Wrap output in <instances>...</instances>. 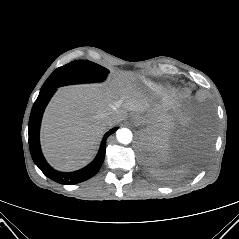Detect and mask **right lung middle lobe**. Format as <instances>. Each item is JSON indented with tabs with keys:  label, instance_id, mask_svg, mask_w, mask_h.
<instances>
[{
	"label": "right lung middle lobe",
	"instance_id": "right-lung-middle-lobe-1",
	"mask_svg": "<svg viewBox=\"0 0 239 239\" xmlns=\"http://www.w3.org/2000/svg\"><path fill=\"white\" fill-rule=\"evenodd\" d=\"M107 73L106 68L88 60L72 61L57 68L45 81L40 93L68 84L102 81Z\"/></svg>",
	"mask_w": 239,
	"mask_h": 239
}]
</instances>
